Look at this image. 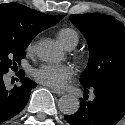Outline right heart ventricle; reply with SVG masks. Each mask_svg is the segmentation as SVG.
Instances as JSON below:
<instances>
[{
    "label": "right heart ventricle",
    "instance_id": "right-heart-ventricle-1",
    "mask_svg": "<svg viewBox=\"0 0 125 125\" xmlns=\"http://www.w3.org/2000/svg\"><path fill=\"white\" fill-rule=\"evenodd\" d=\"M58 38L67 49L74 48L79 42L77 32L71 28H62L58 31Z\"/></svg>",
    "mask_w": 125,
    "mask_h": 125
}]
</instances>
